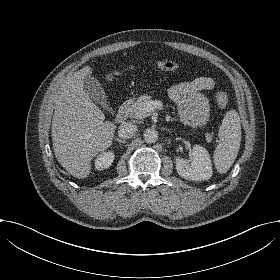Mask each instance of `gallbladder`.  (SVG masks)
I'll return each mask as SVG.
<instances>
[{
  "mask_svg": "<svg viewBox=\"0 0 280 280\" xmlns=\"http://www.w3.org/2000/svg\"><path fill=\"white\" fill-rule=\"evenodd\" d=\"M84 89L92 101L101 105V107L109 113L114 114V110L110 107V104L107 101L104 89L96 78L86 76L84 79Z\"/></svg>",
  "mask_w": 280,
  "mask_h": 280,
  "instance_id": "bac80fb5",
  "label": "gallbladder"
}]
</instances>
